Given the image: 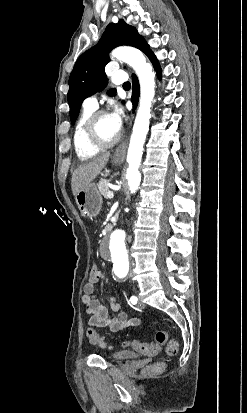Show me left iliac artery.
Returning <instances> with one entry per match:
<instances>
[{
  "mask_svg": "<svg viewBox=\"0 0 247 413\" xmlns=\"http://www.w3.org/2000/svg\"><path fill=\"white\" fill-rule=\"evenodd\" d=\"M132 304H136L138 301V298L136 296H132L129 300Z\"/></svg>",
  "mask_w": 247,
  "mask_h": 413,
  "instance_id": "left-iliac-artery-1",
  "label": "left iliac artery"
}]
</instances>
